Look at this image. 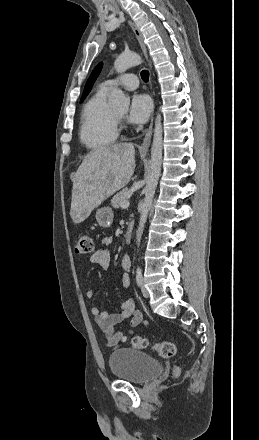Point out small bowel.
<instances>
[{
    "label": "small bowel",
    "instance_id": "1",
    "mask_svg": "<svg viewBox=\"0 0 259 440\" xmlns=\"http://www.w3.org/2000/svg\"><path fill=\"white\" fill-rule=\"evenodd\" d=\"M110 240V238H105L106 242H109ZM110 261V252L106 249L96 250L90 256V262L100 266L104 270L109 268ZM121 268L123 270L121 284L123 287L128 288L131 284V279L128 274V271L131 268V260L128 255L122 257ZM94 296L95 292L92 289L86 291V297L88 299H92ZM91 313L94 316L96 324L105 335L109 347L117 346L124 338L123 325H127L131 328L140 324L147 325L142 313L136 308L133 298L126 300L121 305L120 310L116 313L100 310L97 306L91 307Z\"/></svg>",
    "mask_w": 259,
    "mask_h": 440
}]
</instances>
